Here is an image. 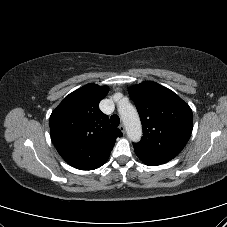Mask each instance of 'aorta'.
<instances>
[{
    "label": "aorta",
    "instance_id": "762f6f07",
    "mask_svg": "<svg viewBox=\"0 0 227 227\" xmlns=\"http://www.w3.org/2000/svg\"><path fill=\"white\" fill-rule=\"evenodd\" d=\"M118 112L126 128L128 138L138 142L142 137V126L136 108L128 101L118 102Z\"/></svg>",
    "mask_w": 227,
    "mask_h": 227
}]
</instances>
